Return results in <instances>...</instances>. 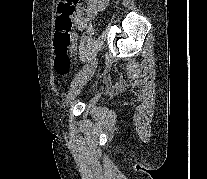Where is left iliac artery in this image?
<instances>
[{
    "mask_svg": "<svg viewBox=\"0 0 207 179\" xmlns=\"http://www.w3.org/2000/svg\"><path fill=\"white\" fill-rule=\"evenodd\" d=\"M88 68V64H86L76 75V77L72 80L71 86L84 74L85 70Z\"/></svg>",
    "mask_w": 207,
    "mask_h": 179,
    "instance_id": "44dca946",
    "label": "left iliac artery"
}]
</instances>
